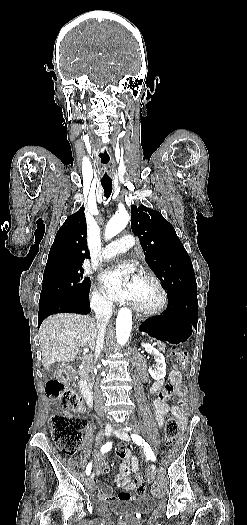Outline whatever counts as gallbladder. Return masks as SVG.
<instances>
[{"mask_svg": "<svg viewBox=\"0 0 247 525\" xmlns=\"http://www.w3.org/2000/svg\"><path fill=\"white\" fill-rule=\"evenodd\" d=\"M59 365L56 363V365H48L44 366L42 368V373L44 374V378L46 380L56 379L59 375Z\"/></svg>", "mask_w": 247, "mask_h": 525, "instance_id": "obj_1", "label": "gallbladder"}]
</instances>
